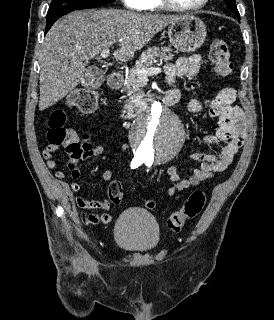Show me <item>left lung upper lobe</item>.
Masks as SVG:
<instances>
[{"label": "left lung upper lobe", "mask_w": 274, "mask_h": 320, "mask_svg": "<svg viewBox=\"0 0 274 320\" xmlns=\"http://www.w3.org/2000/svg\"><path fill=\"white\" fill-rule=\"evenodd\" d=\"M224 2L233 13L239 15L235 0H224Z\"/></svg>", "instance_id": "1"}]
</instances>
